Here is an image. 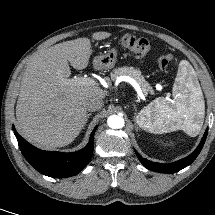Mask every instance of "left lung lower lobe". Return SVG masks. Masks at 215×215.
Returning <instances> with one entry per match:
<instances>
[{
  "instance_id": "obj_1",
  "label": "left lung lower lobe",
  "mask_w": 215,
  "mask_h": 215,
  "mask_svg": "<svg viewBox=\"0 0 215 215\" xmlns=\"http://www.w3.org/2000/svg\"><path fill=\"white\" fill-rule=\"evenodd\" d=\"M208 129H206L204 136L198 145V147L195 149L193 153H191L189 156L178 160L173 163L169 164H161V163H156L149 161L147 159H144L141 155L137 153V157L140 160V162L143 164L144 167H146L149 170L155 171V172H160V173H175L180 171L181 169L187 167L190 165L196 157L199 155L200 151L202 150V147L205 143L206 137H207Z\"/></svg>"
}]
</instances>
